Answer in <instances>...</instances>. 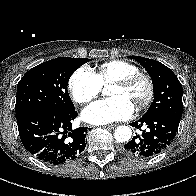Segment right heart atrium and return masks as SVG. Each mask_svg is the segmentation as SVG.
<instances>
[{"label":"right heart atrium","mask_w":196,"mask_h":196,"mask_svg":"<svg viewBox=\"0 0 196 196\" xmlns=\"http://www.w3.org/2000/svg\"><path fill=\"white\" fill-rule=\"evenodd\" d=\"M68 87L75 102L88 104L100 93L102 85L92 70L80 67L71 75Z\"/></svg>","instance_id":"obj_1"}]
</instances>
